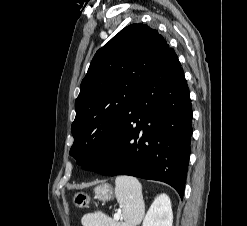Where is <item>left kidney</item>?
<instances>
[{"mask_svg": "<svg viewBox=\"0 0 247 226\" xmlns=\"http://www.w3.org/2000/svg\"><path fill=\"white\" fill-rule=\"evenodd\" d=\"M173 213L168 195L161 194L155 198L147 211L142 226H172Z\"/></svg>", "mask_w": 247, "mask_h": 226, "instance_id": "1", "label": "left kidney"}]
</instances>
